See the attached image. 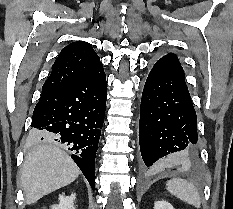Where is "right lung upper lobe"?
Masks as SVG:
<instances>
[{
	"mask_svg": "<svg viewBox=\"0 0 233 209\" xmlns=\"http://www.w3.org/2000/svg\"><path fill=\"white\" fill-rule=\"evenodd\" d=\"M102 63L89 43L77 42L64 47L52 65L42 93L69 84L92 72Z\"/></svg>",
	"mask_w": 233,
	"mask_h": 209,
	"instance_id": "right-lung-upper-lobe-1",
	"label": "right lung upper lobe"
}]
</instances>
